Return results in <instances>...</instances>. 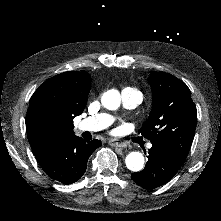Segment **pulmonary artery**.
Returning a JSON list of instances; mask_svg holds the SVG:
<instances>
[{"instance_id": "obj_1", "label": "pulmonary artery", "mask_w": 221, "mask_h": 221, "mask_svg": "<svg viewBox=\"0 0 221 221\" xmlns=\"http://www.w3.org/2000/svg\"><path fill=\"white\" fill-rule=\"evenodd\" d=\"M143 98L142 89L139 86H124L120 90L119 101L122 105L128 109L133 110L141 103ZM115 121V117L110 115L107 112L103 114L96 113L94 116L89 114L87 117H84L81 120V123L84 127H87L89 130H102L106 129Z\"/></svg>"}]
</instances>
